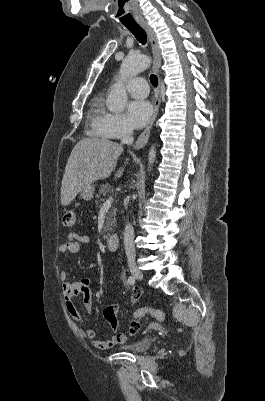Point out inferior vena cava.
<instances>
[{"instance_id":"inferior-vena-cava-1","label":"inferior vena cava","mask_w":265,"mask_h":401,"mask_svg":"<svg viewBox=\"0 0 265 401\" xmlns=\"http://www.w3.org/2000/svg\"><path fill=\"white\" fill-rule=\"evenodd\" d=\"M133 128L127 124L125 134L121 138V144H132L134 138L132 136ZM124 247L127 259H135V245H134V229L131 225H126L124 231Z\"/></svg>"}]
</instances>
